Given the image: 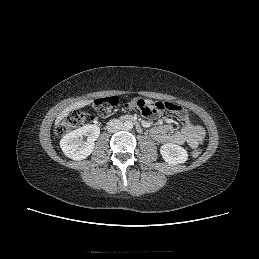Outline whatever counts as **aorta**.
I'll return each mask as SVG.
<instances>
[{
  "label": "aorta",
  "instance_id": "aorta-1",
  "mask_svg": "<svg viewBox=\"0 0 259 259\" xmlns=\"http://www.w3.org/2000/svg\"><path fill=\"white\" fill-rule=\"evenodd\" d=\"M124 128H125L126 130L132 129V128H133V123H132L131 121H125V123H124Z\"/></svg>",
  "mask_w": 259,
  "mask_h": 259
}]
</instances>
